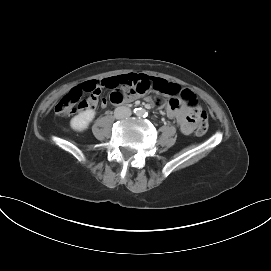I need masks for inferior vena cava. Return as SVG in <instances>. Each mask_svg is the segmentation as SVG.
<instances>
[{
    "mask_svg": "<svg viewBox=\"0 0 271 271\" xmlns=\"http://www.w3.org/2000/svg\"><path fill=\"white\" fill-rule=\"evenodd\" d=\"M131 110L128 107L125 106H120L117 107L114 111V115L116 118L121 119V118H127L131 116Z\"/></svg>",
    "mask_w": 271,
    "mask_h": 271,
    "instance_id": "1",
    "label": "inferior vena cava"
}]
</instances>
